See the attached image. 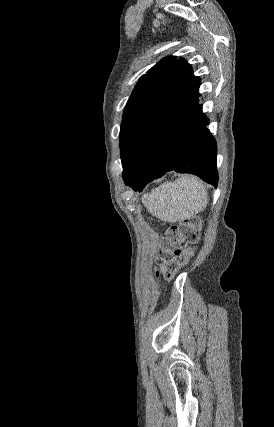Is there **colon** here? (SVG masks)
Masks as SVG:
<instances>
[{"instance_id": "5ec220e1", "label": "colon", "mask_w": 274, "mask_h": 427, "mask_svg": "<svg viewBox=\"0 0 274 427\" xmlns=\"http://www.w3.org/2000/svg\"><path fill=\"white\" fill-rule=\"evenodd\" d=\"M199 229L200 222L196 216L171 224L161 248H182L184 254H194L195 245L199 239Z\"/></svg>"}]
</instances>
